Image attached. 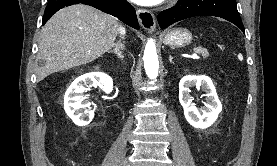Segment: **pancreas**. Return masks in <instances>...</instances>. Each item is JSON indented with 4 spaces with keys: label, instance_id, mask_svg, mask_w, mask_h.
Wrapping results in <instances>:
<instances>
[{
    "label": "pancreas",
    "instance_id": "cf45deb5",
    "mask_svg": "<svg viewBox=\"0 0 277 166\" xmlns=\"http://www.w3.org/2000/svg\"><path fill=\"white\" fill-rule=\"evenodd\" d=\"M194 50L198 53H201L204 58L209 56V53L207 52V50L202 47H197Z\"/></svg>",
    "mask_w": 277,
    "mask_h": 166
}]
</instances>
